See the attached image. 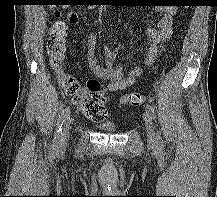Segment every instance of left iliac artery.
<instances>
[{
    "mask_svg": "<svg viewBox=\"0 0 217 197\" xmlns=\"http://www.w3.org/2000/svg\"><path fill=\"white\" fill-rule=\"evenodd\" d=\"M146 111L148 112V114L150 115V117L156 121V114H155V110L154 108L150 105V104H147L146 105ZM157 144L159 146H162L163 144V141H162V138L160 136V133L158 132L157 133Z\"/></svg>",
    "mask_w": 217,
    "mask_h": 197,
    "instance_id": "obj_1",
    "label": "left iliac artery"
}]
</instances>
